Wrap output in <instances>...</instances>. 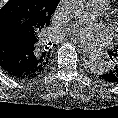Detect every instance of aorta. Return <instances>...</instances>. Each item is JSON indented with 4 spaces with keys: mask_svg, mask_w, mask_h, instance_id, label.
<instances>
[{
    "mask_svg": "<svg viewBox=\"0 0 118 118\" xmlns=\"http://www.w3.org/2000/svg\"><path fill=\"white\" fill-rule=\"evenodd\" d=\"M61 10L69 18H77L84 11L83 0H62ZM89 69L94 74H102L107 69L106 62L101 58H94L89 61Z\"/></svg>",
    "mask_w": 118,
    "mask_h": 118,
    "instance_id": "aorta-1",
    "label": "aorta"
}]
</instances>
